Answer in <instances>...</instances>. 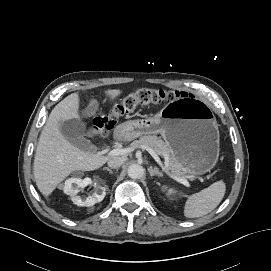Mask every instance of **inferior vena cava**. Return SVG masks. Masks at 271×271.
I'll return each mask as SVG.
<instances>
[{
    "label": "inferior vena cava",
    "mask_w": 271,
    "mask_h": 271,
    "mask_svg": "<svg viewBox=\"0 0 271 271\" xmlns=\"http://www.w3.org/2000/svg\"><path fill=\"white\" fill-rule=\"evenodd\" d=\"M125 160L123 157H112L108 160V166L113 169L119 168Z\"/></svg>",
    "instance_id": "inferior-vena-cava-1"
}]
</instances>
